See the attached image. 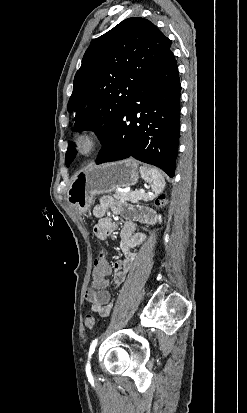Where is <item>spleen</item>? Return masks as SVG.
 <instances>
[{
	"label": "spleen",
	"instance_id": "obj_1",
	"mask_svg": "<svg viewBox=\"0 0 247 413\" xmlns=\"http://www.w3.org/2000/svg\"><path fill=\"white\" fill-rule=\"evenodd\" d=\"M140 174L146 182H150L156 194H160L165 186V178L162 176L158 168H148V166H140Z\"/></svg>",
	"mask_w": 247,
	"mask_h": 413
}]
</instances>
